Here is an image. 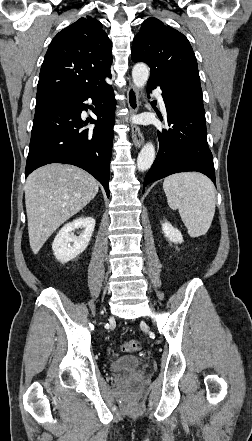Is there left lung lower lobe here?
<instances>
[{"label": "left lung lower lobe", "mask_w": 252, "mask_h": 441, "mask_svg": "<svg viewBox=\"0 0 252 441\" xmlns=\"http://www.w3.org/2000/svg\"><path fill=\"white\" fill-rule=\"evenodd\" d=\"M147 86L148 93L156 87L161 88L171 128L158 131L159 152L145 177L143 188L168 175L186 171L201 172L215 183L203 100L182 85L148 82Z\"/></svg>", "instance_id": "1"}]
</instances>
